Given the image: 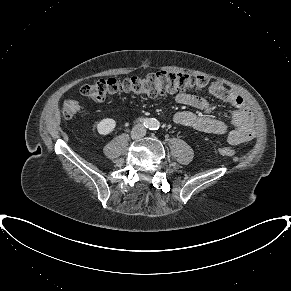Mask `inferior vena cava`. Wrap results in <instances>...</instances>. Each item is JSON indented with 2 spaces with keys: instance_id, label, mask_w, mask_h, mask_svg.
Instances as JSON below:
<instances>
[{
  "instance_id": "602c4592",
  "label": "inferior vena cava",
  "mask_w": 291,
  "mask_h": 291,
  "mask_svg": "<svg viewBox=\"0 0 291 291\" xmlns=\"http://www.w3.org/2000/svg\"><path fill=\"white\" fill-rule=\"evenodd\" d=\"M146 134V128L142 124L136 125L132 130V137L134 138H142Z\"/></svg>"
}]
</instances>
